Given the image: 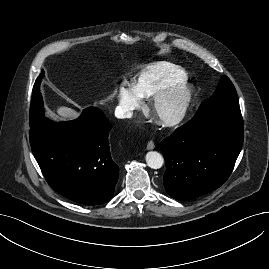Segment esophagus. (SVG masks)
<instances>
[{
  "label": "esophagus",
  "mask_w": 269,
  "mask_h": 269,
  "mask_svg": "<svg viewBox=\"0 0 269 269\" xmlns=\"http://www.w3.org/2000/svg\"><path fill=\"white\" fill-rule=\"evenodd\" d=\"M155 148V144L152 141H149L147 144V149L148 150H152Z\"/></svg>",
  "instance_id": "obj_1"
}]
</instances>
